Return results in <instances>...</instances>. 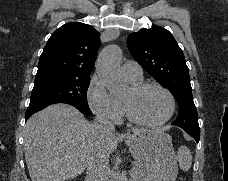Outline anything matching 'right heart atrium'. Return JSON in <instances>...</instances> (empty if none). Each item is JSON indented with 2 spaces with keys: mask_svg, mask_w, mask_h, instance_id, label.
Wrapping results in <instances>:
<instances>
[{
  "mask_svg": "<svg viewBox=\"0 0 228 181\" xmlns=\"http://www.w3.org/2000/svg\"><path fill=\"white\" fill-rule=\"evenodd\" d=\"M88 101L92 111L99 117L119 123L123 117L121 102L110 93L102 77H94L88 88Z\"/></svg>",
  "mask_w": 228,
  "mask_h": 181,
  "instance_id": "d8ad5b80",
  "label": "right heart atrium"
}]
</instances>
